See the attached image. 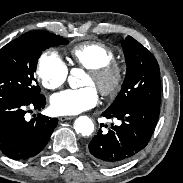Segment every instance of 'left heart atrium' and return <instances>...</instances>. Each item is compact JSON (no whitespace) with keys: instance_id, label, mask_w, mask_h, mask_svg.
<instances>
[{"instance_id":"1","label":"left heart atrium","mask_w":183,"mask_h":183,"mask_svg":"<svg viewBox=\"0 0 183 183\" xmlns=\"http://www.w3.org/2000/svg\"><path fill=\"white\" fill-rule=\"evenodd\" d=\"M98 99L97 90L91 85L67 89L52 96L51 108L57 115H76L94 107Z\"/></svg>"}]
</instances>
